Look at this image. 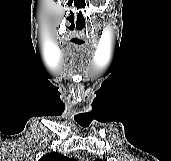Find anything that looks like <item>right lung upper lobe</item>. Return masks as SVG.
<instances>
[{
	"label": "right lung upper lobe",
	"instance_id": "obj_1",
	"mask_svg": "<svg viewBox=\"0 0 171 161\" xmlns=\"http://www.w3.org/2000/svg\"><path fill=\"white\" fill-rule=\"evenodd\" d=\"M39 161H76V160L73 158L65 157L60 153L52 152L43 156Z\"/></svg>",
	"mask_w": 171,
	"mask_h": 161
}]
</instances>
